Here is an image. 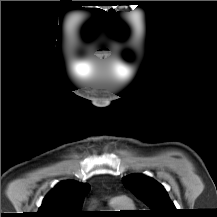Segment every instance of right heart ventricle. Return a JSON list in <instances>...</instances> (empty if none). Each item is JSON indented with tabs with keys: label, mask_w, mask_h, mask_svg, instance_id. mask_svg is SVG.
<instances>
[{
	"label": "right heart ventricle",
	"mask_w": 217,
	"mask_h": 217,
	"mask_svg": "<svg viewBox=\"0 0 217 217\" xmlns=\"http://www.w3.org/2000/svg\"><path fill=\"white\" fill-rule=\"evenodd\" d=\"M109 207L114 211H125L134 209V204L131 200L125 199L123 201H111Z\"/></svg>",
	"instance_id": "e07e8e85"
}]
</instances>
